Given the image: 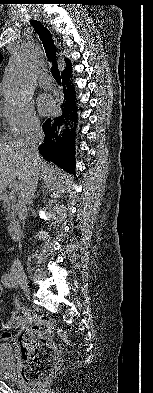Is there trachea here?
<instances>
[{"instance_id":"3493384b","label":"trachea","mask_w":153,"mask_h":393,"mask_svg":"<svg viewBox=\"0 0 153 393\" xmlns=\"http://www.w3.org/2000/svg\"><path fill=\"white\" fill-rule=\"evenodd\" d=\"M30 23L43 44L47 58L52 62V76L57 81V83H61V75L56 63L57 48L55 46L51 32L40 21L32 20Z\"/></svg>"}]
</instances>
